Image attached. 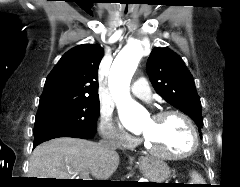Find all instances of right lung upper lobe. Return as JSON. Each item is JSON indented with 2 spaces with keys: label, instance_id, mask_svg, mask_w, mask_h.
Returning <instances> with one entry per match:
<instances>
[{
  "label": "right lung upper lobe",
  "instance_id": "obj_1",
  "mask_svg": "<svg viewBox=\"0 0 240 187\" xmlns=\"http://www.w3.org/2000/svg\"><path fill=\"white\" fill-rule=\"evenodd\" d=\"M99 45L82 44L66 52L48 75L39 105L60 101L99 100Z\"/></svg>",
  "mask_w": 240,
  "mask_h": 187
}]
</instances>
